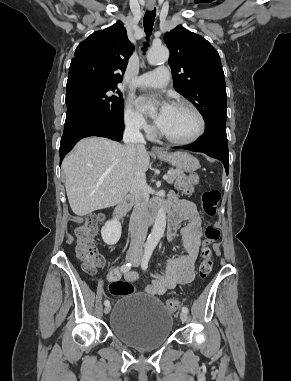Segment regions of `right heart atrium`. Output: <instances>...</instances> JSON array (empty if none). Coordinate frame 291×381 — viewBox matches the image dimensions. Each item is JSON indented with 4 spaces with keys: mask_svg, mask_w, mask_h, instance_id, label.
I'll list each match as a JSON object with an SVG mask.
<instances>
[{
    "mask_svg": "<svg viewBox=\"0 0 291 381\" xmlns=\"http://www.w3.org/2000/svg\"><path fill=\"white\" fill-rule=\"evenodd\" d=\"M124 124L127 129L136 133L151 135L153 128L146 122L132 103H127L123 115Z\"/></svg>",
    "mask_w": 291,
    "mask_h": 381,
    "instance_id": "d8ad5b80",
    "label": "right heart atrium"
}]
</instances>
